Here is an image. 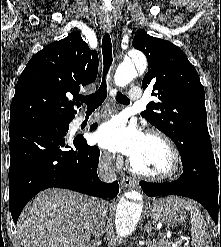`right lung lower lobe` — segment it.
Masks as SVG:
<instances>
[{"label": "right lung lower lobe", "instance_id": "right-lung-lower-lobe-1", "mask_svg": "<svg viewBox=\"0 0 221 247\" xmlns=\"http://www.w3.org/2000/svg\"><path fill=\"white\" fill-rule=\"evenodd\" d=\"M68 129L50 125L9 127V204L15 223L28 201L46 188H67L111 199L118 194L117 181L104 183L98 178L99 148L88 146L83 137L66 138Z\"/></svg>", "mask_w": 221, "mask_h": 247}]
</instances>
